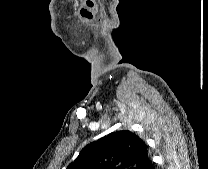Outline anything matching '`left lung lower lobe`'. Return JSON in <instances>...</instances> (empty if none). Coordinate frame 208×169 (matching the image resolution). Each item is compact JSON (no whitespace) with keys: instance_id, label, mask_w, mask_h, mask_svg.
<instances>
[{"instance_id":"obj_1","label":"left lung lower lobe","mask_w":208,"mask_h":169,"mask_svg":"<svg viewBox=\"0 0 208 169\" xmlns=\"http://www.w3.org/2000/svg\"><path fill=\"white\" fill-rule=\"evenodd\" d=\"M142 169H154L153 163H152L150 157H148L147 162L145 163V165Z\"/></svg>"}]
</instances>
